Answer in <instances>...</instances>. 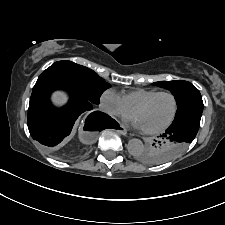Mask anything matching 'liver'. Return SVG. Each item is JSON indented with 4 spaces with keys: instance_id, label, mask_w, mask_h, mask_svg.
Instances as JSON below:
<instances>
[{
    "instance_id": "6515ba94",
    "label": "liver",
    "mask_w": 225,
    "mask_h": 225,
    "mask_svg": "<svg viewBox=\"0 0 225 225\" xmlns=\"http://www.w3.org/2000/svg\"><path fill=\"white\" fill-rule=\"evenodd\" d=\"M67 99V93L63 90H56L51 96L52 102L57 106L63 105L67 101Z\"/></svg>"
}]
</instances>
